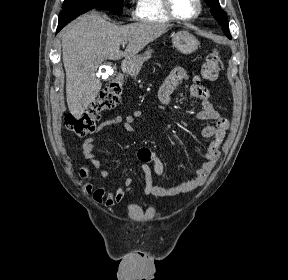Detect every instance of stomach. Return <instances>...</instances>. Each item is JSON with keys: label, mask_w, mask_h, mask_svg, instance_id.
<instances>
[{"label": "stomach", "mask_w": 288, "mask_h": 280, "mask_svg": "<svg viewBox=\"0 0 288 280\" xmlns=\"http://www.w3.org/2000/svg\"><path fill=\"white\" fill-rule=\"evenodd\" d=\"M172 44L179 52L186 55L195 52L199 46V42L196 37L186 30L173 34ZM151 53L152 51L148 49L142 55L127 58L126 63L130 68L140 70L143 63L151 57Z\"/></svg>", "instance_id": "0dacf381"}]
</instances>
